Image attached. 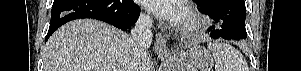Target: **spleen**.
Returning a JSON list of instances; mask_svg holds the SVG:
<instances>
[{
	"instance_id": "3e777b00",
	"label": "spleen",
	"mask_w": 301,
	"mask_h": 71,
	"mask_svg": "<svg viewBox=\"0 0 301 71\" xmlns=\"http://www.w3.org/2000/svg\"><path fill=\"white\" fill-rule=\"evenodd\" d=\"M208 49L215 60V71H249L243 55L229 44L209 42Z\"/></svg>"
}]
</instances>
